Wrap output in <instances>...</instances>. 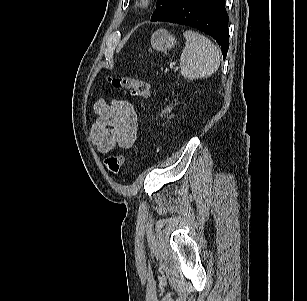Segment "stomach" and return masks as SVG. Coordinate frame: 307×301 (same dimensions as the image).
<instances>
[{
	"mask_svg": "<svg viewBox=\"0 0 307 301\" xmlns=\"http://www.w3.org/2000/svg\"><path fill=\"white\" fill-rule=\"evenodd\" d=\"M176 42L175 37L164 29L155 31L151 37V45L158 51H167L174 47Z\"/></svg>",
	"mask_w": 307,
	"mask_h": 301,
	"instance_id": "stomach-1",
	"label": "stomach"
}]
</instances>
